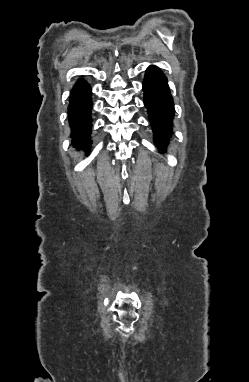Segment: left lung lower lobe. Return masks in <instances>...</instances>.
I'll return each mask as SVG.
<instances>
[{"label":"left lung lower lobe","mask_w":249,"mask_h":382,"mask_svg":"<svg viewBox=\"0 0 249 382\" xmlns=\"http://www.w3.org/2000/svg\"><path fill=\"white\" fill-rule=\"evenodd\" d=\"M144 104L148 109L154 140L157 147L165 152L166 144L172 134L174 116L173 98L167 78L156 66H150L143 82Z\"/></svg>","instance_id":"obj_1"}]
</instances>
